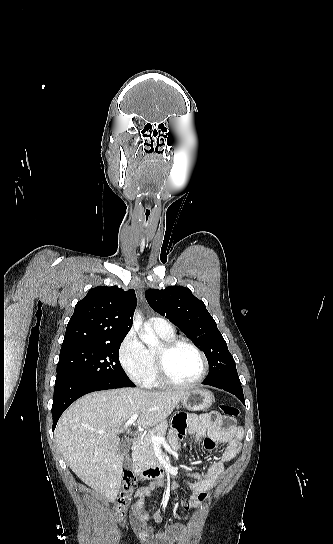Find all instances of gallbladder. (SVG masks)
Wrapping results in <instances>:
<instances>
[{
	"instance_id": "1",
	"label": "gallbladder",
	"mask_w": 333,
	"mask_h": 544,
	"mask_svg": "<svg viewBox=\"0 0 333 544\" xmlns=\"http://www.w3.org/2000/svg\"><path fill=\"white\" fill-rule=\"evenodd\" d=\"M129 448L130 442L127 440H122L118 446V454L124 458L126 466L131 468L133 466V461L128 455Z\"/></svg>"
}]
</instances>
